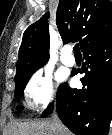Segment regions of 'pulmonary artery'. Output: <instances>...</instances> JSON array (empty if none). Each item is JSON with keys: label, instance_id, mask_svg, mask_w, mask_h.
Listing matches in <instances>:
<instances>
[{"label": "pulmonary artery", "instance_id": "e3ab8cb5", "mask_svg": "<svg viewBox=\"0 0 112 135\" xmlns=\"http://www.w3.org/2000/svg\"><path fill=\"white\" fill-rule=\"evenodd\" d=\"M72 47L67 45L61 49L60 59L66 66H73L75 64V57L72 54Z\"/></svg>", "mask_w": 112, "mask_h": 135}]
</instances>
